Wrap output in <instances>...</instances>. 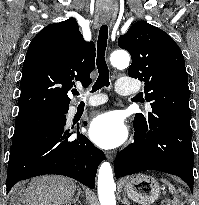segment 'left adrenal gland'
<instances>
[{
	"instance_id": "a2214340",
	"label": "left adrenal gland",
	"mask_w": 199,
	"mask_h": 205,
	"mask_svg": "<svg viewBox=\"0 0 199 205\" xmlns=\"http://www.w3.org/2000/svg\"><path fill=\"white\" fill-rule=\"evenodd\" d=\"M122 203L126 205H131L125 195L123 196Z\"/></svg>"
}]
</instances>
